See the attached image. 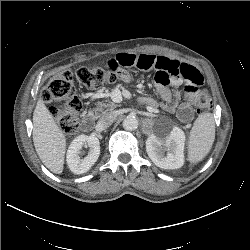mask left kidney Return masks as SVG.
Listing matches in <instances>:
<instances>
[{
  "instance_id": "1",
  "label": "left kidney",
  "mask_w": 250,
  "mask_h": 250,
  "mask_svg": "<svg viewBox=\"0 0 250 250\" xmlns=\"http://www.w3.org/2000/svg\"><path fill=\"white\" fill-rule=\"evenodd\" d=\"M185 134L174 126L165 137L152 135L146 141V152L153 163L162 169H178L183 166Z\"/></svg>"
}]
</instances>
